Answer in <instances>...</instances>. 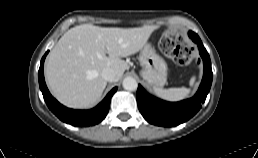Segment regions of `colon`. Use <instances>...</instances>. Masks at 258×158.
<instances>
[{"mask_svg":"<svg viewBox=\"0 0 258 158\" xmlns=\"http://www.w3.org/2000/svg\"><path fill=\"white\" fill-rule=\"evenodd\" d=\"M161 51L179 65H188L195 61L194 50L184 44V34L178 30H167L159 43Z\"/></svg>","mask_w":258,"mask_h":158,"instance_id":"obj_1","label":"colon"}]
</instances>
